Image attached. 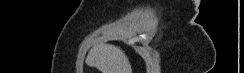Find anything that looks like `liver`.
Segmentation results:
<instances>
[{
  "instance_id": "liver-1",
  "label": "liver",
  "mask_w": 244,
  "mask_h": 73,
  "mask_svg": "<svg viewBox=\"0 0 244 73\" xmlns=\"http://www.w3.org/2000/svg\"><path fill=\"white\" fill-rule=\"evenodd\" d=\"M88 63L101 73H132L131 65L125 53L111 44L95 46L88 54Z\"/></svg>"
}]
</instances>
